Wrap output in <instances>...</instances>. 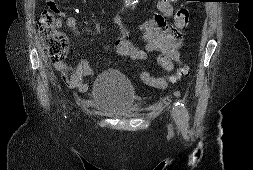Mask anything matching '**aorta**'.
Here are the masks:
<instances>
[{"label":"aorta","mask_w":253,"mask_h":170,"mask_svg":"<svg viewBox=\"0 0 253 170\" xmlns=\"http://www.w3.org/2000/svg\"><path fill=\"white\" fill-rule=\"evenodd\" d=\"M137 2H138V0H125V6L126 7H133Z\"/></svg>","instance_id":"obj_1"}]
</instances>
